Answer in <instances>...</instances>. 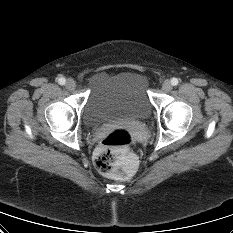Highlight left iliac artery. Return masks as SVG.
<instances>
[{"instance_id": "44dca946", "label": "left iliac artery", "mask_w": 233, "mask_h": 233, "mask_svg": "<svg viewBox=\"0 0 233 233\" xmlns=\"http://www.w3.org/2000/svg\"><path fill=\"white\" fill-rule=\"evenodd\" d=\"M178 83H179V81H178L177 78H172V79H171V84H172L173 86L178 85Z\"/></svg>"}]
</instances>
